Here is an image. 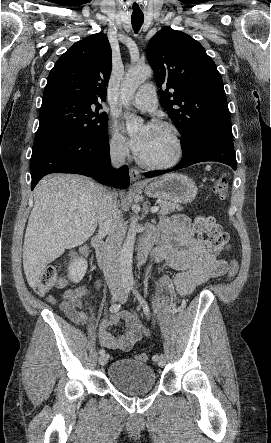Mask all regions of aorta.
Listing matches in <instances>:
<instances>
[{"label":"aorta","mask_w":271,"mask_h":443,"mask_svg":"<svg viewBox=\"0 0 271 443\" xmlns=\"http://www.w3.org/2000/svg\"><path fill=\"white\" fill-rule=\"evenodd\" d=\"M153 72L150 66H132L129 68L122 84H121V96L120 100L124 106H126V110H129L128 106H130L129 100H132L137 88L151 78ZM144 120L141 118H137V116H133L130 114L126 120V128L128 132H135V130H139L143 124ZM135 208V206H133ZM137 223L138 218H132L129 223L126 239L122 245V249L120 251L119 257V269L122 281H129V283H133V273H132V257L136 239V231H137Z\"/></svg>","instance_id":"762f6f07"}]
</instances>
